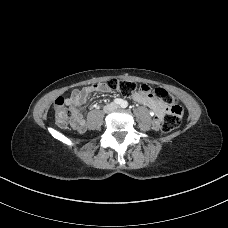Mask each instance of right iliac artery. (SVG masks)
<instances>
[{"mask_svg": "<svg viewBox=\"0 0 228 228\" xmlns=\"http://www.w3.org/2000/svg\"><path fill=\"white\" fill-rule=\"evenodd\" d=\"M122 102H123L122 99H119V98L114 99L115 104L121 105Z\"/></svg>", "mask_w": 228, "mask_h": 228, "instance_id": "82829eb1", "label": "right iliac artery"}]
</instances>
